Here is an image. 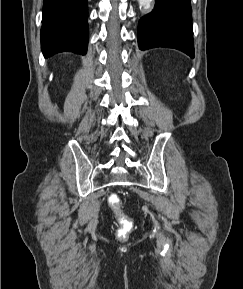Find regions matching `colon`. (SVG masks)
<instances>
[{
    "label": "colon",
    "mask_w": 243,
    "mask_h": 289,
    "mask_svg": "<svg viewBox=\"0 0 243 289\" xmlns=\"http://www.w3.org/2000/svg\"><path fill=\"white\" fill-rule=\"evenodd\" d=\"M110 207L119 215V228L117 235L120 239H126L133 228V221L121 211L122 202L117 194H111L108 198Z\"/></svg>",
    "instance_id": "colon-1"
}]
</instances>
